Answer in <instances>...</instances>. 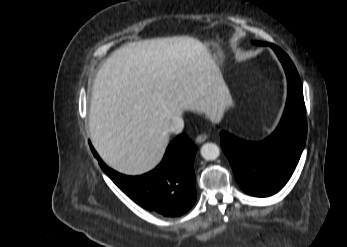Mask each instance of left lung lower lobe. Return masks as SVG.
Returning a JSON list of instances; mask_svg holds the SVG:
<instances>
[{
  "label": "left lung lower lobe",
  "instance_id": "1",
  "mask_svg": "<svg viewBox=\"0 0 347 247\" xmlns=\"http://www.w3.org/2000/svg\"><path fill=\"white\" fill-rule=\"evenodd\" d=\"M287 76L288 96L283 116L265 140L249 142L221 131V147L236 180L248 194L268 197L290 179L305 146L307 123L302 84L291 59L270 44Z\"/></svg>",
  "mask_w": 347,
  "mask_h": 247
}]
</instances>
